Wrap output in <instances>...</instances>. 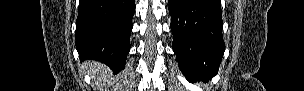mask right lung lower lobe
<instances>
[{
    "label": "right lung lower lobe",
    "mask_w": 304,
    "mask_h": 91,
    "mask_svg": "<svg viewBox=\"0 0 304 91\" xmlns=\"http://www.w3.org/2000/svg\"><path fill=\"white\" fill-rule=\"evenodd\" d=\"M135 0H80L76 49L81 61H101L112 70L125 68Z\"/></svg>",
    "instance_id": "obj_1"
}]
</instances>
